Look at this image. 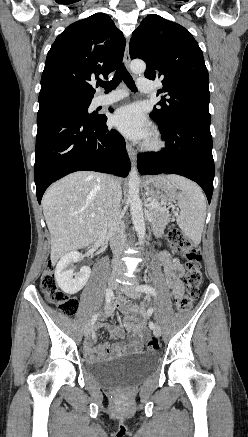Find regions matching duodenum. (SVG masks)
<instances>
[{"instance_id": "410a0bca", "label": "duodenum", "mask_w": 248, "mask_h": 437, "mask_svg": "<svg viewBox=\"0 0 248 437\" xmlns=\"http://www.w3.org/2000/svg\"><path fill=\"white\" fill-rule=\"evenodd\" d=\"M103 238H104V234L102 235L101 239H103Z\"/></svg>"}]
</instances>
